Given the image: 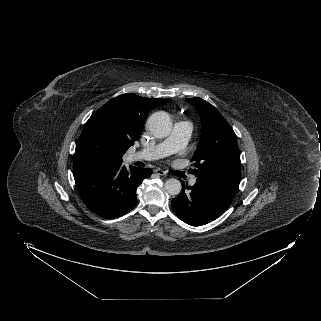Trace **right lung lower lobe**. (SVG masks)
<instances>
[{
  "label": "right lung lower lobe",
  "mask_w": 321,
  "mask_h": 321,
  "mask_svg": "<svg viewBox=\"0 0 321 321\" xmlns=\"http://www.w3.org/2000/svg\"><path fill=\"white\" fill-rule=\"evenodd\" d=\"M152 170L122 163L74 174L78 192L95 214L113 219L129 212L137 202L136 189Z\"/></svg>",
  "instance_id": "obj_1"
}]
</instances>
